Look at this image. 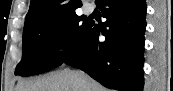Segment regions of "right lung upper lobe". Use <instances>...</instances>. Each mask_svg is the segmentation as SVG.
<instances>
[{
    "mask_svg": "<svg viewBox=\"0 0 173 91\" xmlns=\"http://www.w3.org/2000/svg\"><path fill=\"white\" fill-rule=\"evenodd\" d=\"M81 5L79 0H31L24 29L75 14V10Z\"/></svg>",
    "mask_w": 173,
    "mask_h": 91,
    "instance_id": "right-lung-upper-lobe-1",
    "label": "right lung upper lobe"
}]
</instances>
